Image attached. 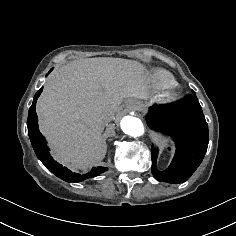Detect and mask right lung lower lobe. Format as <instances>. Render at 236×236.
I'll return each instance as SVG.
<instances>
[{"label": "right lung lower lobe", "instance_id": "obj_1", "mask_svg": "<svg viewBox=\"0 0 236 236\" xmlns=\"http://www.w3.org/2000/svg\"><path fill=\"white\" fill-rule=\"evenodd\" d=\"M42 90L43 87L40 88L38 92L35 94L33 103L29 109V114L27 119L28 135L38 159L54 175L67 182H81L85 179L93 178L100 175L101 173H104L108 168L101 166L93 168L91 172L84 175L73 173L66 167H62V165L57 163L50 156L49 149L46 146V140L44 139V137L42 136V134L38 129V118L35 111L36 101L40 96Z\"/></svg>", "mask_w": 236, "mask_h": 236}]
</instances>
